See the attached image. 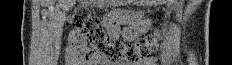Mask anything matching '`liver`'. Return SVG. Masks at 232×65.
<instances>
[{"mask_svg":"<svg viewBox=\"0 0 232 65\" xmlns=\"http://www.w3.org/2000/svg\"><path fill=\"white\" fill-rule=\"evenodd\" d=\"M74 0H59V5L63 8V9H67L70 6H72L74 4Z\"/></svg>","mask_w":232,"mask_h":65,"instance_id":"1","label":"liver"}]
</instances>
